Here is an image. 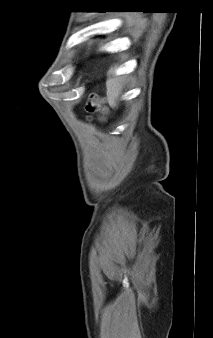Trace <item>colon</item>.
<instances>
[{
    "label": "colon",
    "mask_w": 213,
    "mask_h": 338,
    "mask_svg": "<svg viewBox=\"0 0 213 338\" xmlns=\"http://www.w3.org/2000/svg\"><path fill=\"white\" fill-rule=\"evenodd\" d=\"M89 109H90L91 111H94V110H95V106H94L93 104H90V105H89Z\"/></svg>",
    "instance_id": "1"
}]
</instances>
